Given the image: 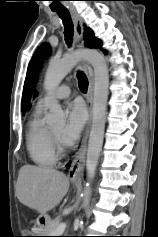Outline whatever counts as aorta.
Instances as JSON below:
<instances>
[{"label":"aorta","instance_id":"aorta-1","mask_svg":"<svg viewBox=\"0 0 158 237\" xmlns=\"http://www.w3.org/2000/svg\"><path fill=\"white\" fill-rule=\"evenodd\" d=\"M81 60L88 61L94 69V96L92 127L89 136L86 159V185L83 191V206H87L91 195V184L95 175L100 152L102 150L106 109L109 89V74L105 59L95 50H81L66 54L62 59H52L48 65L44 87L47 91L54 90L62 79ZM66 116L60 104L53 100L50 104V114L47 118L49 125L65 124Z\"/></svg>","mask_w":158,"mask_h":237}]
</instances>
